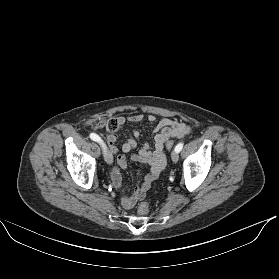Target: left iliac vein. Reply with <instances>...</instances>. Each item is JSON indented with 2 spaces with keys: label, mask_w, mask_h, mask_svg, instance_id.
Instances as JSON below:
<instances>
[{
  "label": "left iliac vein",
  "mask_w": 279,
  "mask_h": 279,
  "mask_svg": "<svg viewBox=\"0 0 279 279\" xmlns=\"http://www.w3.org/2000/svg\"><path fill=\"white\" fill-rule=\"evenodd\" d=\"M171 159H172V161H173L174 163L178 162V160H179V154H178L177 151L174 150V151L171 153Z\"/></svg>",
  "instance_id": "obj_1"
}]
</instances>
